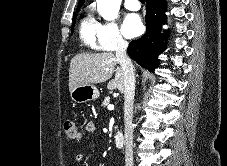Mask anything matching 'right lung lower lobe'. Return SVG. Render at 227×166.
<instances>
[{"label":"right lung lower lobe","instance_id":"1","mask_svg":"<svg viewBox=\"0 0 227 166\" xmlns=\"http://www.w3.org/2000/svg\"><path fill=\"white\" fill-rule=\"evenodd\" d=\"M146 33L128 46V54L143 68L153 71L159 65L158 55L165 49L168 32L162 33L166 23V0H146Z\"/></svg>","mask_w":227,"mask_h":166}]
</instances>
